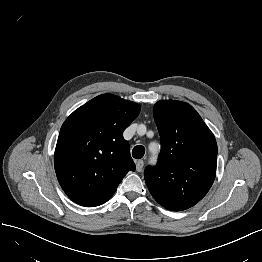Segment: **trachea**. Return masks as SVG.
<instances>
[{
    "label": "trachea",
    "mask_w": 262,
    "mask_h": 262,
    "mask_svg": "<svg viewBox=\"0 0 262 262\" xmlns=\"http://www.w3.org/2000/svg\"><path fill=\"white\" fill-rule=\"evenodd\" d=\"M145 148L142 145H137L132 150V156L135 159H141L144 156Z\"/></svg>",
    "instance_id": "3493384b"
}]
</instances>
